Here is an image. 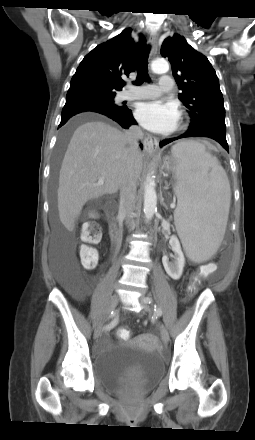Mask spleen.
I'll use <instances>...</instances> for the list:
<instances>
[{
	"label": "spleen",
	"mask_w": 255,
	"mask_h": 440,
	"mask_svg": "<svg viewBox=\"0 0 255 440\" xmlns=\"http://www.w3.org/2000/svg\"><path fill=\"white\" fill-rule=\"evenodd\" d=\"M177 161L175 226L188 257L209 259L223 239L231 200L227 175L218 159L194 142L172 147Z\"/></svg>",
	"instance_id": "1"
}]
</instances>
